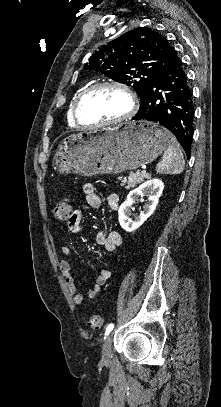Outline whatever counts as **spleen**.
Masks as SVG:
<instances>
[{
    "mask_svg": "<svg viewBox=\"0 0 221 407\" xmlns=\"http://www.w3.org/2000/svg\"><path fill=\"white\" fill-rule=\"evenodd\" d=\"M185 160L179 143L170 137L162 161L156 165V172L161 174H180L184 170Z\"/></svg>",
    "mask_w": 221,
    "mask_h": 407,
    "instance_id": "obj_1",
    "label": "spleen"
}]
</instances>
